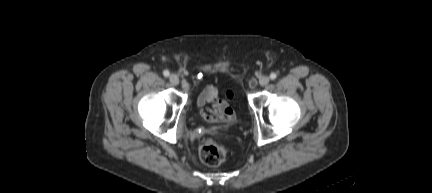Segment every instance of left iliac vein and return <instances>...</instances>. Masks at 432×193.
I'll list each match as a JSON object with an SVG mask.
<instances>
[{
    "instance_id": "1",
    "label": "left iliac vein",
    "mask_w": 432,
    "mask_h": 193,
    "mask_svg": "<svg viewBox=\"0 0 432 193\" xmlns=\"http://www.w3.org/2000/svg\"><path fill=\"white\" fill-rule=\"evenodd\" d=\"M270 81V78L268 76H262L259 80V83L261 86H266Z\"/></svg>"
}]
</instances>
